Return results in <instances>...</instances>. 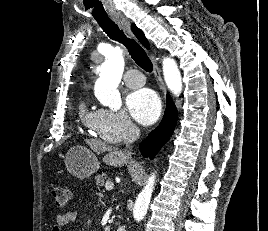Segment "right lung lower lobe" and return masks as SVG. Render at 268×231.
Returning a JSON list of instances; mask_svg holds the SVG:
<instances>
[{
	"label": "right lung lower lobe",
	"instance_id": "right-lung-lower-lobe-1",
	"mask_svg": "<svg viewBox=\"0 0 268 231\" xmlns=\"http://www.w3.org/2000/svg\"><path fill=\"white\" fill-rule=\"evenodd\" d=\"M177 116V109L169 94H167V106L161 123L140 145V150L144 157L153 159L165 145L175 129Z\"/></svg>",
	"mask_w": 268,
	"mask_h": 231
}]
</instances>
